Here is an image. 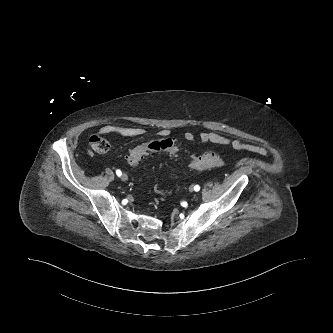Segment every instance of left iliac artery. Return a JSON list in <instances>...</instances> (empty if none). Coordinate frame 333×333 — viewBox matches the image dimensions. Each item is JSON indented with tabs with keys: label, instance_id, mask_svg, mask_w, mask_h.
Returning a JSON list of instances; mask_svg holds the SVG:
<instances>
[{
	"label": "left iliac artery",
	"instance_id": "44dca946",
	"mask_svg": "<svg viewBox=\"0 0 333 333\" xmlns=\"http://www.w3.org/2000/svg\"><path fill=\"white\" fill-rule=\"evenodd\" d=\"M194 190L197 192V191H199L200 190V186L199 185H195L194 186Z\"/></svg>",
	"mask_w": 333,
	"mask_h": 333
}]
</instances>
